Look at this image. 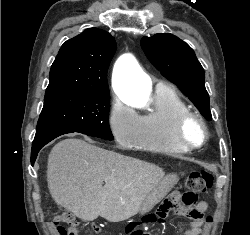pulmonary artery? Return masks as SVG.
I'll use <instances>...</instances> for the list:
<instances>
[{
	"mask_svg": "<svg viewBox=\"0 0 250 235\" xmlns=\"http://www.w3.org/2000/svg\"><path fill=\"white\" fill-rule=\"evenodd\" d=\"M161 85H163V83H159L157 86H161Z\"/></svg>",
	"mask_w": 250,
	"mask_h": 235,
	"instance_id": "pulmonary-artery-1",
	"label": "pulmonary artery"
}]
</instances>
